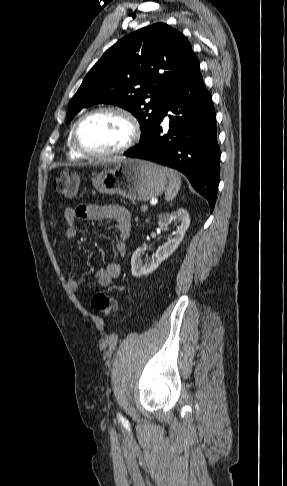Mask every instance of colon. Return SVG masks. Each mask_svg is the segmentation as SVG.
<instances>
[{
	"instance_id": "1",
	"label": "colon",
	"mask_w": 287,
	"mask_h": 486,
	"mask_svg": "<svg viewBox=\"0 0 287 486\" xmlns=\"http://www.w3.org/2000/svg\"><path fill=\"white\" fill-rule=\"evenodd\" d=\"M80 186L79 177L72 172H62L52 182V189L54 192L64 196L73 197L78 193ZM92 306L101 315L111 318L117 311V302L110 295L98 292L92 298Z\"/></svg>"
}]
</instances>
